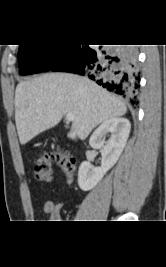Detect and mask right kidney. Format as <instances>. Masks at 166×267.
<instances>
[{"label":"right kidney","instance_id":"right-kidney-1","mask_svg":"<svg viewBox=\"0 0 166 267\" xmlns=\"http://www.w3.org/2000/svg\"><path fill=\"white\" fill-rule=\"evenodd\" d=\"M131 124L128 119L116 117L104 121L92 134L89 144L94 149H102L101 166L94 167L89 161L82 162L78 170V185L83 191L93 189L106 172L118 161L129 137ZM112 133L105 142L104 136Z\"/></svg>","mask_w":166,"mask_h":267}]
</instances>
